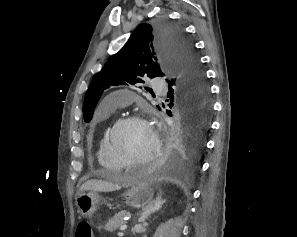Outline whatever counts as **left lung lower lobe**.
<instances>
[{"label": "left lung lower lobe", "mask_w": 297, "mask_h": 237, "mask_svg": "<svg viewBox=\"0 0 297 237\" xmlns=\"http://www.w3.org/2000/svg\"><path fill=\"white\" fill-rule=\"evenodd\" d=\"M173 94H176L175 102L182 118V128L170 138L164 164L168 168L176 169L193 164L199 157L209 128L211 104L196 105L189 97L179 95L176 91L174 93L169 84L167 97L172 102Z\"/></svg>", "instance_id": "left-lung-lower-lobe-1"}]
</instances>
